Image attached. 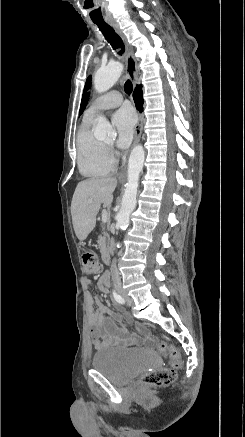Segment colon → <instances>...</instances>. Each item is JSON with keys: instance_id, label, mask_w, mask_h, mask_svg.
Masks as SVG:
<instances>
[{"instance_id": "colon-1", "label": "colon", "mask_w": 245, "mask_h": 437, "mask_svg": "<svg viewBox=\"0 0 245 437\" xmlns=\"http://www.w3.org/2000/svg\"><path fill=\"white\" fill-rule=\"evenodd\" d=\"M82 262L85 275H97L102 271V265L92 250H84ZM158 349L162 354L169 356L170 367H163L146 373L142 377V382L149 386H163L172 383L176 379L177 370L182 364L180 353L174 346L161 342Z\"/></svg>"}]
</instances>
